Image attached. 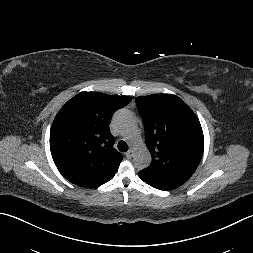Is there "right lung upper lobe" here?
Segmentation results:
<instances>
[{"mask_svg":"<svg viewBox=\"0 0 253 253\" xmlns=\"http://www.w3.org/2000/svg\"><path fill=\"white\" fill-rule=\"evenodd\" d=\"M130 102L128 96L81 92L60 109L50 131V150L67 180L95 188L114 177L123 156L113 148L109 124L114 112Z\"/></svg>","mask_w":253,"mask_h":253,"instance_id":"obj_1","label":"right lung upper lobe"}]
</instances>
